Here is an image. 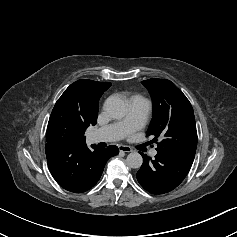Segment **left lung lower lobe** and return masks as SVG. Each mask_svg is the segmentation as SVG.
<instances>
[{"mask_svg":"<svg viewBox=\"0 0 237 237\" xmlns=\"http://www.w3.org/2000/svg\"><path fill=\"white\" fill-rule=\"evenodd\" d=\"M143 164L137 172L140 185L152 194H163L175 189L186 177L193 160L170 154L157 153L155 159L141 153Z\"/></svg>","mask_w":237,"mask_h":237,"instance_id":"0a47b994","label":"left lung lower lobe"}]
</instances>
